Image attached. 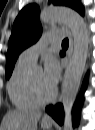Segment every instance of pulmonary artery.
Instances as JSON below:
<instances>
[{
	"label": "pulmonary artery",
	"mask_w": 95,
	"mask_h": 130,
	"mask_svg": "<svg viewBox=\"0 0 95 130\" xmlns=\"http://www.w3.org/2000/svg\"><path fill=\"white\" fill-rule=\"evenodd\" d=\"M62 38L63 32L60 30L45 32L36 43H34L21 53L19 59L31 64H35L40 52L47 44L58 43L62 40Z\"/></svg>",
	"instance_id": "pulmonary-artery-1"
}]
</instances>
